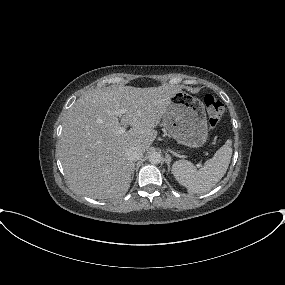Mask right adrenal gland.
Returning a JSON list of instances; mask_svg holds the SVG:
<instances>
[{
	"label": "right adrenal gland",
	"instance_id": "2a0ac1e0",
	"mask_svg": "<svg viewBox=\"0 0 285 285\" xmlns=\"http://www.w3.org/2000/svg\"><path fill=\"white\" fill-rule=\"evenodd\" d=\"M134 170H135V164H134V166H133L132 179H133V177H134Z\"/></svg>",
	"mask_w": 285,
	"mask_h": 285
}]
</instances>
